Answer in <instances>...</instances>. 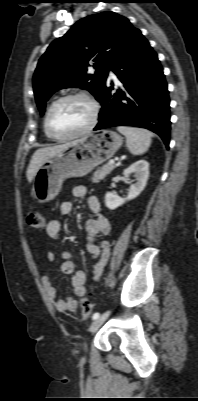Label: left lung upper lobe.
Returning <instances> with one entry per match:
<instances>
[{
    "mask_svg": "<svg viewBox=\"0 0 198 401\" xmlns=\"http://www.w3.org/2000/svg\"><path fill=\"white\" fill-rule=\"evenodd\" d=\"M137 29L111 11L87 16L54 40L40 58L33 76L37 106L44 114L46 101L57 90L78 87L100 99L108 71L128 46ZM93 62L94 73L88 71Z\"/></svg>",
    "mask_w": 198,
    "mask_h": 401,
    "instance_id": "1",
    "label": "left lung upper lobe"
}]
</instances>
